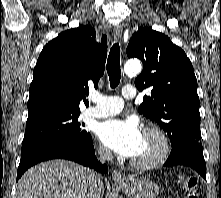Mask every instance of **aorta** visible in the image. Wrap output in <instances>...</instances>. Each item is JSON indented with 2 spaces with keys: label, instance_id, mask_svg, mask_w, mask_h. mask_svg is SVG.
Here are the masks:
<instances>
[{
  "label": "aorta",
  "instance_id": "obj_1",
  "mask_svg": "<svg viewBox=\"0 0 221 198\" xmlns=\"http://www.w3.org/2000/svg\"><path fill=\"white\" fill-rule=\"evenodd\" d=\"M141 69V63L138 60H129L124 66V72L129 76H133L140 73Z\"/></svg>",
  "mask_w": 221,
  "mask_h": 198
}]
</instances>
